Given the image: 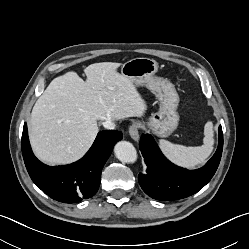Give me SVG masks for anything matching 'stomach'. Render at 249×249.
<instances>
[{"label": "stomach", "mask_w": 249, "mask_h": 249, "mask_svg": "<svg viewBox=\"0 0 249 249\" xmlns=\"http://www.w3.org/2000/svg\"><path fill=\"white\" fill-rule=\"evenodd\" d=\"M158 63L150 58H133L122 65L121 73L136 86H146L158 99L159 110L152 113L144 126L159 137H169L178 127L179 96L174 85L157 77Z\"/></svg>", "instance_id": "1"}]
</instances>
